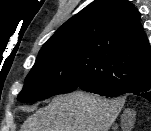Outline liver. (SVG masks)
Returning a JSON list of instances; mask_svg holds the SVG:
<instances>
[{"instance_id": "6515ba94", "label": "liver", "mask_w": 151, "mask_h": 131, "mask_svg": "<svg viewBox=\"0 0 151 131\" xmlns=\"http://www.w3.org/2000/svg\"><path fill=\"white\" fill-rule=\"evenodd\" d=\"M122 103L77 91L57 96L27 118L21 131H108Z\"/></svg>"}]
</instances>
